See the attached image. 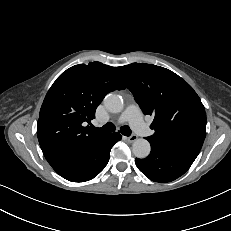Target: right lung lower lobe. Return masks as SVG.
I'll list each match as a JSON object with an SVG mask.
<instances>
[{
	"mask_svg": "<svg viewBox=\"0 0 231 231\" xmlns=\"http://www.w3.org/2000/svg\"><path fill=\"white\" fill-rule=\"evenodd\" d=\"M122 136L108 133L102 137L87 152L61 162L53 169L63 178L72 182H84L96 177L107 165L112 146Z\"/></svg>",
	"mask_w": 231,
	"mask_h": 231,
	"instance_id": "obj_1",
	"label": "right lung lower lobe"
}]
</instances>
